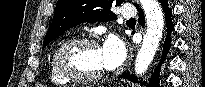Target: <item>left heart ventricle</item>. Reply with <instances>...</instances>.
Returning a JSON list of instances; mask_svg holds the SVG:
<instances>
[{"instance_id": "obj_1", "label": "left heart ventricle", "mask_w": 205, "mask_h": 87, "mask_svg": "<svg viewBox=\"0 0 205 87\" xmlns=\"http://www.w3.org/2000/svg\"><path fill=\"white\" fill-rule=\"evenodd\" d=\"M63 63L81 75L96 74L105 66L101 49L91 45L70 48L63 56Z\"/></svg>"}]
</instances>
